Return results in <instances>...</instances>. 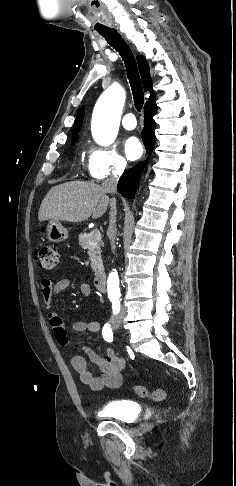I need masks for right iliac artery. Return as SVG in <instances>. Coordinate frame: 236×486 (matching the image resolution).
I'll list each match as a JSON object with an SVG mask.
<instances>
[{
  "label": "right iliac artery",
  "instance_id": "1",
  "mask_svg": "<svg viewBox=\"0 0 236 486\" xmlns=\"http://www.w3.org/2000/svg\"><path fill=\"white\" fill-rule=\"evenodd\" d=\"M119 304L115 301H113V313L114 314H117L119 312ZM102 335H103V338L108 341V342H112L113 341V332H112V328H111V325L109 323H106L103 327V330H102Z\"/></svg>",
  "mask_w": 236,
  "mask_h": 486
}]
</instances>
